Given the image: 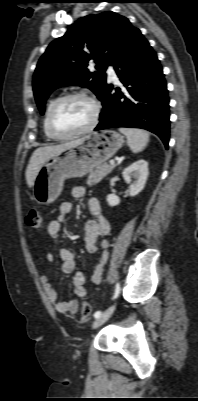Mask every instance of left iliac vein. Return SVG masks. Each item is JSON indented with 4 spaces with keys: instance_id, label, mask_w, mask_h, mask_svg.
Here are the masks:
<instances>
[{
    "instance_id": "left-iliac-vein-1",
    "label": "left iliac vein",
    "mask_w": 198,
    "mask_h": 401,
    "mask_svg": "<svg viewBox=\"0 0 198 401\" xmlns=\"http://www.w3.org/2000/svg\"><path fill=\"white\" fill-rule=\"evenodd\" d=\"M114 307H110L107 309L103 314H101L98 318L95 319V321L92 324V327L94 329L100 327L102 324H104L113 314L114 312Z\"/></svg>"
}]
</instances>
